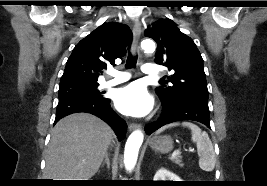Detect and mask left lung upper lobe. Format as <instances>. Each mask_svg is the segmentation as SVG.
I'll list each match as a JSON object with an SVG mask.
<instances>
[{"instance_id": "left-lung-upper-lobe-1", "label": "left lung upper lobe", "mask_w": 267, "mask_h": 186, "mask_svg": "<svg viewBox=\"0 0 267 186\" xmlns=\"http://www.w3.org/2000/svg\"><path fill=\"white\" fill-rule=\"evenodd\" d=\"M158 44L155 62L172 70V85L157 87L163 105L195 101L208 104V89L202 56L193 40L182 33L175 22L161 19L145 31Z\"/></svg>"}]
</instances>
